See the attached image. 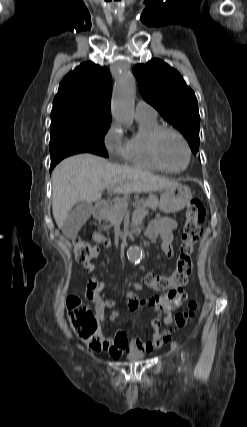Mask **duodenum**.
<instances>
[{"instance_id": "410a0bca", "label": "duodenum", "mask_w": 247, "mask_h": 427, "mask_svg": "<svg viewBox=\"0 0 247 427\" xmlns=\"http://www.w3.org/2000/svg\"><path fill=\"white\" fill-rule=\"evenodd\" d=\"M108 208V203L106 201H99L94 206V216L101 218Z\"/></svg>"}]
</instances>
